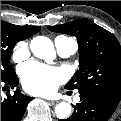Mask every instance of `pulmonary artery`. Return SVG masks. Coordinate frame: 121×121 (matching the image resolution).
Returning <instances> with one entry per match:
<instances>
[{"mask_svg":"<svg viewBox=\"0 0 121 121\" xmlns=\"http://www.w3.org/2000/svg\"><path fill=\"white\" fill-rule=\"evenodd\" d=\"M55 47L58 54L61 57H69L76 53L78 49V45L75 40L66 38V37H57L55 39ZM80 97L79 95L75 96V101L79 102Z\"/></svg>","mask_w":121,"mask_h":121,"instance_id":"pulmonary-artery-1","label":"pulmonary artery"}]
</instances>
